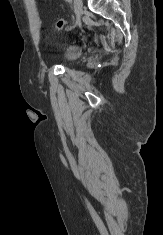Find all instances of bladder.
Returning <instances> with one entry per match:
<instances>
[{
	"instance_id": "obj_1",
	"label": "bladder",
	"mask_w": 163,
	"mask_h": 235,
	"mask_svg": "<svg viewBox=\"0 0 163 235\" xmlns=\"http://www.w3.org/2000/svg\"><path fill=\"white\" fill-rule=\"evenodd\" d=\"M81 55V49L77 46H69L64 51V58L67 63L76 61Z\"/></svg>"
}]
</instances>
